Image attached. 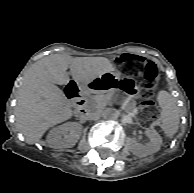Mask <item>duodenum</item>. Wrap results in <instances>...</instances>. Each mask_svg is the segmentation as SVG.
<instances>
[{"mask_svg": "<svg viewBox=\"0 0 194 193\" xmlns=\"http://www.w3.org/2000/svg\"><path fill=\"white\" fill-rule=\"evenodd\" d=\"M66 95L72 100L76 114H85L87 99L84 95L80 94V91L75 83H70L68 85Z\"/></svg>", "mask_w": 194, "mask_h": 193, "instance_id": "1", "label": "duodenum"}]
</instances>
